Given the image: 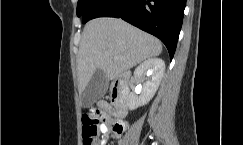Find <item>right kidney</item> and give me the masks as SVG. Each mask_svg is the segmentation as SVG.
<instances>
[{"instance_id":"ca27d5eb","label":"right kidney","mask_w":243,"mask_h":145,"mask_svg":"<svg viewBox=\"0 0 243 145\" xmlns=\"http://www.w3.org/2000/svg\"><path fill=\"white\" fill-rule=\"evenodd\" d=\"M165 63L160 58H149L134 71V78L143 83L140 96L130 93L128 96L129 110L146 105L155 95L164 76ZM145 74L147 78H145Z\"/></svg>"}]
</instances>
